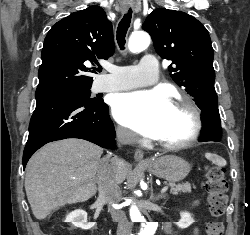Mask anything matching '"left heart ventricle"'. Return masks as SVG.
Segmentation results:
<instances>
[{"instance_id": "left-heart-ventricle-1", "label": "left heart ventricle", "mask_w": 250, "mask_h": 235, "mask_svg": "<svg viewBox=\"0 0 250 235\" xmlns=\"http://www.w3.org/2000/svg\"><path fill=\"white\" fill-rule=\"evenodd\" d=\"M192 126V117L186 110L171 107L154 138L164 142L179 141L189 135Z\"/></svg>"}]
</instances>
